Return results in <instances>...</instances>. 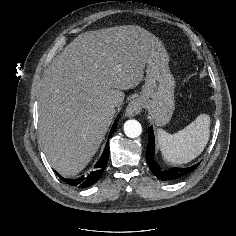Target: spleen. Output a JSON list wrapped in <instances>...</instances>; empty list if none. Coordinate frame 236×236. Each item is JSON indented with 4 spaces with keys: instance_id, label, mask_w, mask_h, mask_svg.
I'll return each instance as SVG.
<instances>
[{
    "instance_id": "obj_1",
    "label": "spleen",
    "mask_w": 236,
    "mask_h": 236,
    "mask_svg": "<svg viewBox=\"0 0 236 236\" xmlns=\"http://www.w3.org/2000/svg\"><path fill=\"white\" fill-rule=\"evenodd\" d=\"M210 135V116L199 115L191 124L175 134L157 129L158 143L163 157L172 163H188L199 156Z\"/></svg>"
}]
</instances>
